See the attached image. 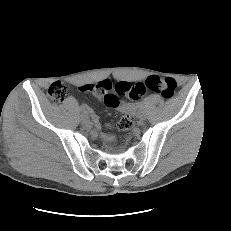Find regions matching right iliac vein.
<instances>
[{
    "mask_svg": "<svg viewBox=\"0 0 231 231\" xmlns=\"http://www.w3.org/2000/svg\"><path fill=\"white\" fill-rule=\"evenodd\" d=\"M81 120L84 123H88L90 121L88 114L87 113H82Z\"/></svg>",
    "mask_w": 231,
    "mask_h": 231,
    "instance_id": "1",
    "label": "right iliac vein"
}]
</instances>
